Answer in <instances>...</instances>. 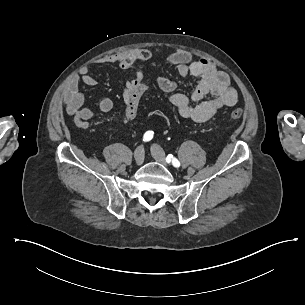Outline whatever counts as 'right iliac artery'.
<instances>
[{"mask_svg": "<svg viewBox=\"0 0 305 305\" xmlns=\"http://www.w3.org/2000/svg\"><path fill=\"white\" fill-rule=\"evenodd\" d=\"M153 134H154L153 131H147L144 134L143 141H150L153 138Z\"/></svg>", "mask_w": 305, "mask_h": 305, "instance_id": "right-iliac-artery-1", "label": "right iliac artery"}]
</instances>
